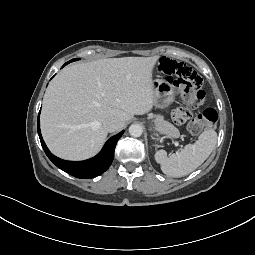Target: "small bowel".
<instances>
[{"mask_svg": "<svg viewBox=\"0 0 255 255\" xmlns=\"http://www.w3.org/2000/svg\"><path fill=\"white\" fill-rule=\"evenodd\" d=\"M170 117L174 123L186 125L193 120L194 114L190 108L179 106L171 111Z\"/></svg>", "mask_w": 255, "mask_h": 255, "instance_id": "obj_1", "label": "small bowel"}]
</instances>
